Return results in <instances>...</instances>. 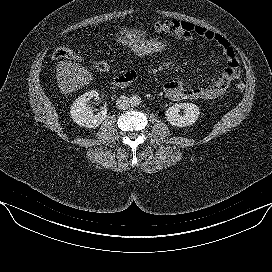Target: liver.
<instances>
[{
    "label": "liver",
    "mask_w": 272,
    "mask_h": 272,
    "mask_svg": "<svg viewBox=\"0 0 272 272\" xmlns=\"http://www.w3.org/2000/svg\"><path fill=\"white\" fill-rule=\"evenodd\" d=\"M56 77L63 94L75 92L93 80L87 68L69 61H61L57 64Z\"/></svg>",
    "instance_id": "liver-1"
}]
</instances>
